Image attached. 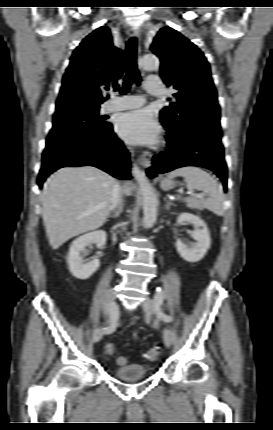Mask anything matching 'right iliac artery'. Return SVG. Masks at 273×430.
Wrapping results in <instances>:
<instances>
[{"mask_svg":"<svg viewBox=\"0 0 273 430\" xmlns=\"http://www.w3.org/2000/svg\"><path fill=\"white\" fill-rule=\"evenodd\" d=\"M117 320H118V313H115L113 315L112 322L110 323V325L108 327L104 328L103 332L105 334H110V333L114 332L116 327H117Z\"/></svg>","mask_w":273,"mask_h":430,"instance_id":"right-iliac-artery-1","label":"right iliac artery"}]
</instances>
